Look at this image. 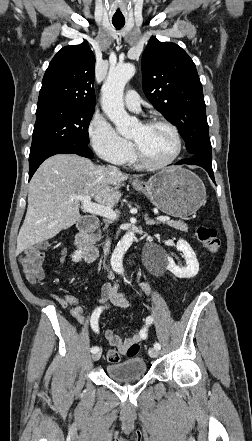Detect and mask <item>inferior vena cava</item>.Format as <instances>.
<instances>
[{"mask_svg":"<svg viewBox=\"0 0 252 441\" xmlns=\"http://www.w3.org/2000/svg\"><path fill=\"white\" fill-rule=\"evenodd\" d=\"M109 169H112L113 171H117L118 170L116 167H113V166H109ZM110 246H111L110 239H107L106 243L104 245V255H107L109 253Z\"/></svg>","mask_w":252,"mask_h":441,"instance_id":"1","label":"inferior vena cava"}]
</instances>
